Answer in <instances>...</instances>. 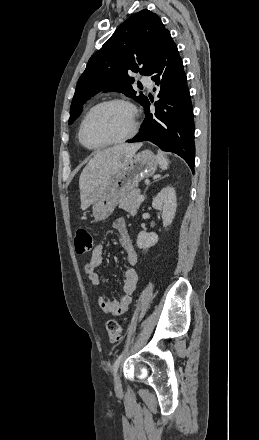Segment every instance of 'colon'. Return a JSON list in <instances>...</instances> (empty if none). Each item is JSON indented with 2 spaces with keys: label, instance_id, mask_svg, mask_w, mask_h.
Masks as SVG:
<instances>
[{
  "label": "colon",
  "instance_id": "obj_1",
  "mask_svg": "<svg viewBox=\"0 0 259 440\" xmlns=\"http://www.w3.org/2000/svg\"><path fill=\"white\" fill-rule=\"evenodd\" d=\"M93 248V237L90 230L80 227L75 235V251L78 254H85ZM109 340L113 343L121 342L123 339V329L115 320H109L106 324Z\"/></svg>",
  "mask_w": 259,
  "mask_h": 440
}]
</instances>
